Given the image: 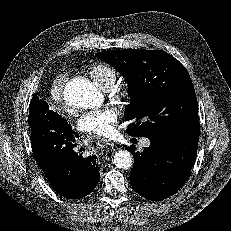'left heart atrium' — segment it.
<instances>
[{"label": "left heart atrium", "instance_id": "obj_1", "mask_svg": "<svg viewBox=\"0 0 231 231\" xmlns=\"http://www.w3.org/2000/svg\"><path fill=\"white\" fill-rule=\"evenodd\" d=\"M117 119V109L105 107L85 114L79 121V127L89 134L107 136L113 131V125Z\"/></svg>", "mask_w": 231, "mask_h": 231}]
</instances>
